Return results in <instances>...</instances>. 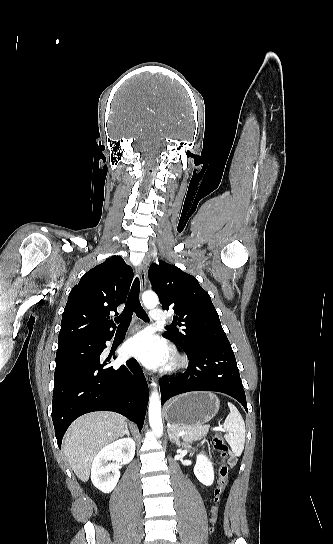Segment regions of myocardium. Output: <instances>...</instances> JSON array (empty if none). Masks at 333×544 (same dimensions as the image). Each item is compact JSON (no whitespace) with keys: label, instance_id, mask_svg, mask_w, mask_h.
<instances>
[{"label":"myocardium","instance_id":"f54148a6","mask_svg":"<svg viewBox=\"0 0 333 544\" xmlns=\"http://www.w3.org/2000/svg\"><path fill=\"white\" fill-rule=\"evenodd\" d=\"M185 365H186L185 358L179 355L178 353L173 352L171 355V359L169 361L168 370L175 371L177 369L184 367Z\"/></svg>","mask_w":333,"mask_h":544}]
</instances>
